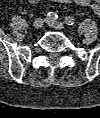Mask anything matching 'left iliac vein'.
<instances>
[{
  "instance_id": "1",
  "label": "left iliac vein",
  "mask_w": 100,
  "mask_h": 118,
  "mask_svg": "<svg viewBox=\"0 0 100 118\" xmlns=\"http://www.w3.org/2000/svg\"><path fill=\"white\" fill-rule=\"evenodd\" d=\"M47 24L57 30H62L64 28V25L61 22L53 21V20H47Z\"/></svg>"
}]
</instances>
